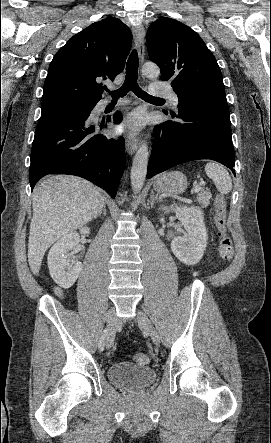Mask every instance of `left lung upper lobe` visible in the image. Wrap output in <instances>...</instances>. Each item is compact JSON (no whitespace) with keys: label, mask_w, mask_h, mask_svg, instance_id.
<instances>
[{"label":"left lung upper lobe","mask_w":271,"mask_h":443,"mask_svg":"<svg viewBox=\"0 0 271 443\" xmlns=\"http://www.w3.org/2000/svg\"><path fill=\"white\" fill-rule=\"evenodd\" d=\"M147 47L150 60L160 67L162 80L172 78L173 90L181 98L196 101L195 95L203 93L226 99L217 60L187 25L167 17L156 20L147 31Z\"/></svg>","instance_id":"1"}]
</instances>
